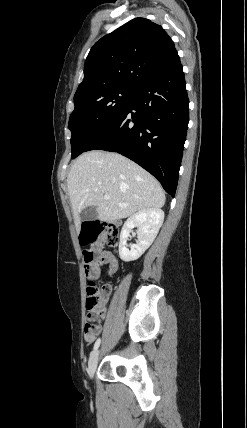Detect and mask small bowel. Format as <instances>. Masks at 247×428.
Returning <instances> with one entry per match:
<instances>
[{"label": "small bowel", "instance_id": "c3829d8e", "mask_svg": "<svg viewBox=\"0 0 247 428\" xmlns=\"http://www.w3.org/2000/svg\"><path fill=\"white\" fill-rule=\"evenodd\" d=\"M102 260H103L104 262H110V263H112L111 268H110V270H111V271L116 270V265H115V263H114V259H113V257H112V255H111V254H109V253H104ZM99 276H100V267H99L98 265H95V266H94V269H93L92 277H93V278H98ZM95 324H96V330H95V332H94L93 334H91V335H85V340H86L87 342H92V341H94V339H95L96 335H97V334L101 331V329H102L101 324H100L99 322H97V323H95Z\"/></svg>", "mask_w": 247, "mask_h": 428}]
</instances>
